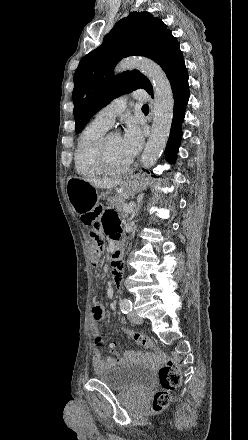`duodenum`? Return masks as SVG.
Here are the masks:
<instances>
[{
  "label": "duodenum",
  "instance_id": "1",
  "mask_svg": "<svg viewBox=\"0 0 248 440\" xmlns=\"http://www.w3.org/2000/svg\"><path fill=\"white\" fill-rule=\"evenodd\" d=\"M122 255H123V242L120 239V237H116V238H114V248H113V253H112L113 267L120 266L119 261H120Z\"/></svg>",
  "mask_w": 248,
  "mask_h": 440
}]
</instances>
